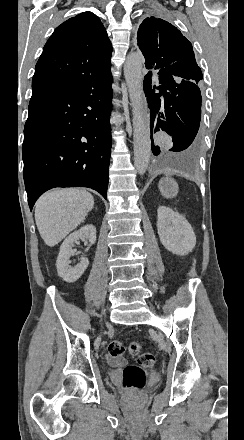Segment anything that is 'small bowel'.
Instances as JSON below:
<instances>
[{
	"label": "small bowel",
	"mask_w": 244,
	"mask_h": 440,
	"mask_svg": "<svg viewBox=\"0 0 244 440\" xmlns=\"http://www.w3.org/2000/svg\"><path fill=\"white\" fill-rule=\"evenodd\" d=\"M111 361H112V363H113L115 366H117V367H120V366L125 365V361L122 360V359H116V358L112 357V358H111Z\"/></svg>",
	"instance_id": "1"
}]
</instances>
